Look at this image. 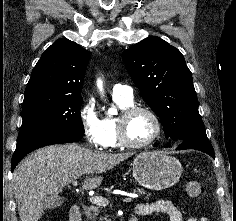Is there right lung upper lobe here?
<instances>
[{"instance_id":"obj_1","label":"right lung upper lobe","mask_w":236,"mask_h":221,"mask_svg":"<svg viewBox=\"0 0 236 221\" xmlns=\"http://www.w3.org/2000/svg\"><path fill=\"white\" fill-rule=\"evenodd\" d=\"M89 59V52L73 41L56 40L32 70L25 95L36 92L81 95Z\"/></svg>"}]
</instances>
